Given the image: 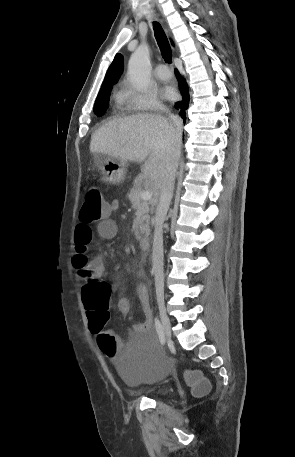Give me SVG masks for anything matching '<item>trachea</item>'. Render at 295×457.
<instances>
[{"mask_svg": "<svg viewBox=\"0 0 295 457\" xmlns=\"http://www.w3.org/2000/svg\"><path fill=\"white\" fill-rule=\"evenodd\" d=\"M153 29L161 55L166 63L172 62V51L167 36L158 22H153Z\"/></svg>", "mask_w": 295, "mask_h": 457, "instance_id": "obj_1", "label": "trachea"}]
</instances>
